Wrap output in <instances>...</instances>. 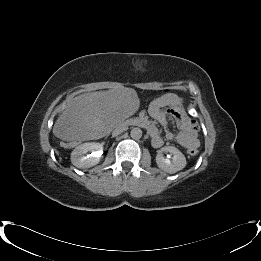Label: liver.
I'll use <instances>...</instances> for the list:
<instances>
[{
	"label": "liver",
	"instance_id": "obj_1",
	"mask_svg": "<svg viewBox=\"0 0 261 261\" xmlns=\"http://www.w3.org/2000/svg\"><path fill=\"white\" fill-rule=\"evenodd\" d=\"M137 109L136 92L128 88L82 94L58 117L53 134L64 141L99 139Z\"/></svg>",
	"mask_w": 261,
	"mask_h": 261
}]
</instances>
